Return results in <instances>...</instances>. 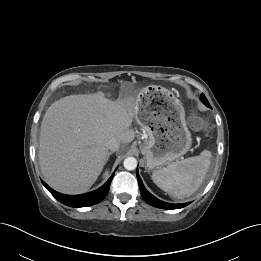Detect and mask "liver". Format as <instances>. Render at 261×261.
Segmentation results:
<instances>
[{"label": "liver", "mask_w": 261, "mask_h": 261, "mask_svg": "<svg viewBox=\"0 0 261 261\" xmlns=\"http://www.w3.org/2000/svg\"><path fill=\"white\" fill-rule=\"evenodd\" d=\"M137 100L112 101L103 93L54 102L40 128L39 163L46 182L65 194L89 190L108 161L106 142L133 141Z\"/></svg>", "instance_id": "6515ba94"}]
</instances>
